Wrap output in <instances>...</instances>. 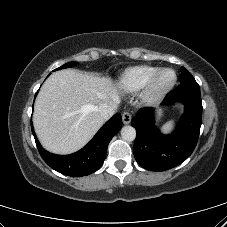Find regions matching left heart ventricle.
I'll return each instance as SVG.
<instances>
[{
  "mask_svg": "<svg viewBox=\"0 0 227 227\" xmlns=\"http://www.w3.org/2000/svg\"><path fill=\"white\" fill-rule=\"evenodd\" d=\"M173 79V74L171 72H166L164 74H162L161 78H160V82L162 84H167L169 83L171 80Z\"/></svg>",
  "mask_w": 227,
  "mask_h": 227,
  "instance_id": "obj_1",
  "label": "left heart ventricle"
}]
</instances>
